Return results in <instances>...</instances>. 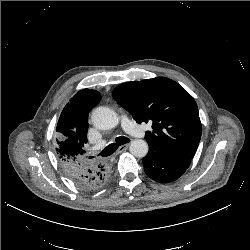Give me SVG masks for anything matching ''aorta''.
<instances>
[{"label": "aorta", "mask_w": 250, "mask_h": 250, "mask_svg": "<svg viewBox=\"0 0 250 250\" xmlns=\"http://www.w3.org/2000/svg\"><path fill=\"white\" fill-rule=\"evenodd\" d=\"M92 124L100 130H110L119 124V117L115 111L108 107H97L92 113ZM149 146L145 140L136 139L130 144L129 151L136 157H145Z\"/></svg>", "instance_id": "1"}]
</instances>
